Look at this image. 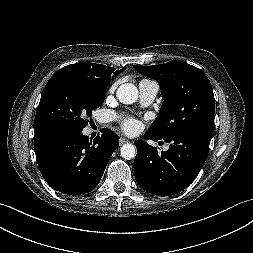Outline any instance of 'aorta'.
<instances>
[{
    "label": "aorta",
    "mask_w": 253,
    "mask_h": 253,
    "mask_svg": "<svg viewBox=\"0 0 253 253\" xmlns=\"http://www.w3.org/2000/svg\"><path fill=\"white\" fill-rule=\"evenodd\" d=\"M118 100L123 104H133L138 99V89L134 84H122L116 92ZM121 156L124 159H133L136 156V147L127 143L120 148Z\"/></svg>",
    "instance_id": "aorta-1"
}]
</instances>
